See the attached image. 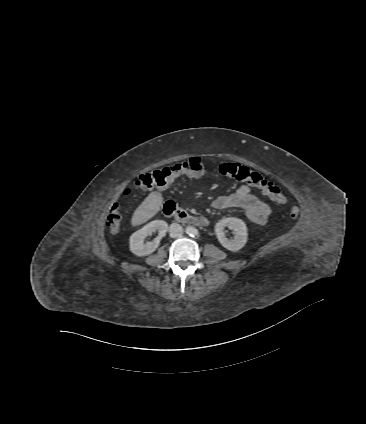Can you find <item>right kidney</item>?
Segmentation results:
<instances>
[{
  "label": "right kidney",
  "instance_id": "1",
  "mask_svg": "<svg viewBox=\"0 0 366 424\" xmlns=\"http://www.w3.org/2000/svg\"><path fill=\"white\" fill-rule=\"evenodd\" d=\"M168 230V224L163 220H154L141 229L133 233L130 237V251L136 256H148L152 254L159 246L160 240L165 236ZM157 231L159 236L153 241L145 242V238Z\"/></svg>",
  "mask_w": 366,
  "mask_h": 424
}]
</instances>
